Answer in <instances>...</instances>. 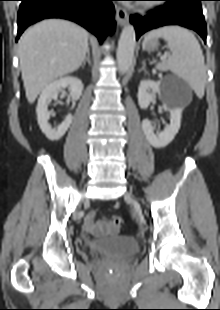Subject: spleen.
<instances>
[{"mask_svg": "<svg viewBox=\"0 0 220 310\" xmlns=\"http://www.w3.org/2000/svg\"><path fill=\"white\" fill-rule=\"evenodd\" d=\"M159 37L167 42L172 54L166 62L159 63L156 67L172 71L185 80L199 98L203 97L206 67L202 49L194 34L183 27L165 26L149 32L144 43Z\"/></svg>", "mask_w": 220, "mask_h": 310, "instance_id": "spleen-1", "label": "spleen"}]
</instances>
